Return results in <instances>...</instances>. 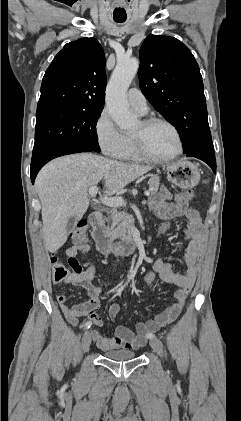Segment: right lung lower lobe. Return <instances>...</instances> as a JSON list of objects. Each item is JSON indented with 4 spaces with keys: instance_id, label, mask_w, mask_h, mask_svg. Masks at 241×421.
Returning <instances> with one entry per match:
<instances>
[{
    "instance_id": "1",
    "label": "right lung lower lobe",
    "mask_w": 241,
    "mask_h": 421,
    "mask_svg": "<svg viewBox=\"0 0 241 421\" xmlns=\"http://www.w3.org/2000/svg\"><path fill=\"white\" fill-rule=\"evenodd\" d=\"M93 151L90 148L83 147V146H67V147H61L53 150L46 151L41 154L33 155L32 156V162H31V180L34 184L35 177L39 170L50 160L67 155V154H73V153H80V152H91Z\"/></svg>"
}]
</instances>
